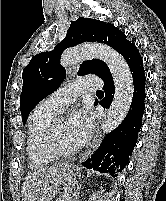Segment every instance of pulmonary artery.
<instances>
[{"instance_id": "obj_1", "label": "pulmonary artery", "mask_w": 166, "mask_h": 201, "mask_svg": "<svg viewBox=\"0 0 166 201\" xmlns=\"http://www.w3.org/2000/svg\"><path fill=\"white\" fill-rule=\"evenodd\" d=\"M102 85V81L96 77L78 79L51 94L43 101L42 105L55 112H59L73 103L81 93L87 90L100 89Z\"/></svg>"}]
</instances>
